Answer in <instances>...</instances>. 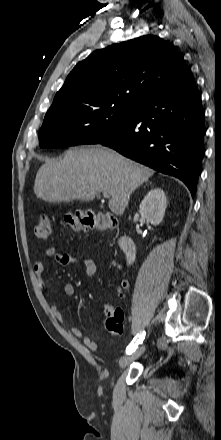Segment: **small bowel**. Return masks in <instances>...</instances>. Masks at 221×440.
<instances>
[{
    "instance_id": "small-bowel-1",
    "label": "small bowel",
    "mask_w": 221,
    "mask_h": 440,
    "mask_svg": "<svg viewBox=\"0 0 221 440\" xmlns=\"http://www.w3.org/2000/svg\"><path fill=\"white\" fill-rule=\"evenodd\" d=\"M45 254L47 257L52 258L54 260V263L56 266H67V265H74L81 263L85 274L89 277L95 275L96 273V264L91 259H80L77 256L66 254V253H58L54 247H48L45 251ZM44 263L41 260H38L34 264V272L36 276L38 277L39 285L43 288H47L46 282L42 279V274L44 272ZM128 288V282L126 280H123L119 284L118 292L121 293L123 290ZM75 287L72 283H65L63 285V293L68 296H74L75 295ZM112 307H115L114 305H111ZM50 310L55 317V319L59 322H64V315L58 308L56 304H52L50 306ZM71 334L76 338H81L83 344L90 350L95 351L98 348V345L95 340H93L89 336H84L83 332L78 327L71 328Z\"/></svg>"
}]
</instances>
